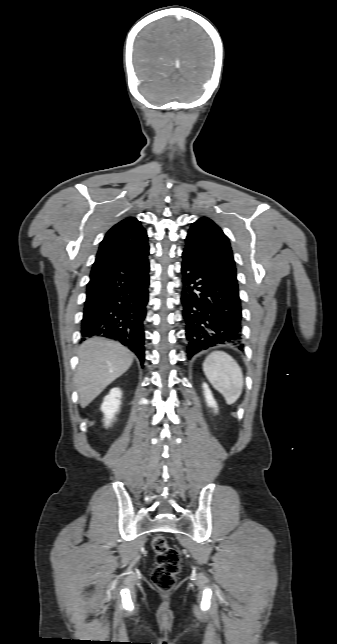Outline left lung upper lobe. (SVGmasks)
<instances>
[{"label": "left lung upper lobe", "instance_id": "1", "mask_svg": "<svg viewBox=\"0 0 337 644\" xmlns=\"http://www.w3.org/2000/svg\"><path fill=\"white\" fill-rule=\"evenodd\" d=\"M184 255L208 266L238 293L236 268L229 240L209 218L194 222L185 239Z\"/></svg>", "mask_w": 337, "mask_h": 644}]
</instances>
